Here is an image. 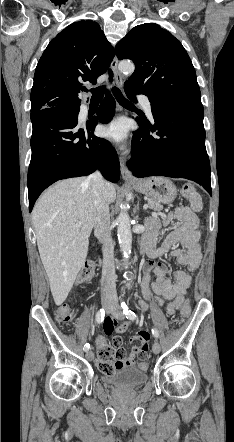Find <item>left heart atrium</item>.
<instances>
[{
    "instance_id": "left-heart-atrium-1",
    "label": "left heart atrium",
    "mask_w": 234,
    "mask_h": 442,
    "mask_svg": "<svg viewBox=\"0 0 234 442\" xmlns=\"http://www.w3.org/2000/svg\"><path fill=\"white\" fill-rule=\"evenodd\" d=\"M102 135L116 143L123 142L127 136V127L122 120H113L106 123L101 129Z\"/></svg>"
}]
</instances>
